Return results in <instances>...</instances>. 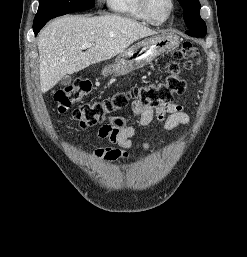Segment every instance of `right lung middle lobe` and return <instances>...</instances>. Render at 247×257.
Returning <instances> with one entry per match:
<instances>
[{
  "label": "right lung middle lobe",
  "instance_id": "obj_1",
  "mask_svg": "<svg viewBox=\"0 0 247 257\" xmlns=\"http://www.w3.org/2000/svg\"><path fill=\"white\" fill-rule=\"evenodd\" d=\"M93 7L94 0H39V8L33 24Z\"/></svg>",
  "mask_w": 247,
  "mask_h": 257
}]
</instances>
